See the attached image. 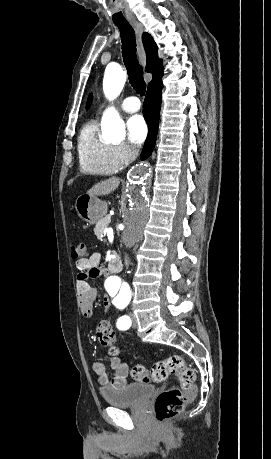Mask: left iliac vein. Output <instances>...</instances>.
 <instances>
[{"label":"left iliac vein","mask_w":271,"mask_h":459,"mask_svg":"<svg viewBox=\"0 0 271 459\" xmlns=\"http://www.w3.org/2000/svg\"><path fill=\"white\" fill-rule=\"evenodd\" d=\"M129 315H130L131 320H132V326H136V318H135L134 314L130 313Z\"/></svg>","instance_id":"left-iliac-vein-1"}]
</instances>
